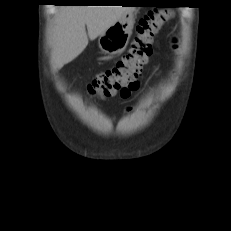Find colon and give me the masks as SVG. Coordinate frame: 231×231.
<instances>
[{
    "instance_id": "obj_1",
    "label": "colon",
    "mask_w": 231,
    "mask_h": 231,
    "mask_svg": "<svg viewBox=\"0 0 231 231\" xmlns=\"http://www.w3.org/2000/svg\"><path fill=\"white\" fill-rule=\"evenodd\" d=\"M168 17L169 13L165 10H151L140 18L129 51L113 67L101 72L89 83L88 93L106 98L138 81L143 66L153 53L154 36Z\"/></svg>"
}]
</instances>
